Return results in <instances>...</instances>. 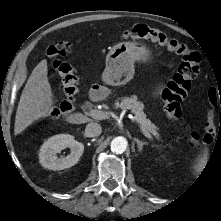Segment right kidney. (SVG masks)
I'll return each mask as SVG.
<instances>
[{"mask_svg":"<svg viewBox=\"0 0 221 221\" xmlns=\"http://www.w3.org/2000/svg\"><path fill=\"white\" fill-rule=\"evenodd\" d=\"M70 148L71 153L66 157H58L63 149ZM84 151V145L77 142L69 134H59L50 137L43 143L39 153L40 163L50 170H63L74 166Z\"/></svg>","mask_w":221,"mask_h":221,"instance_id":"right-kidney-1","label":"right kidney"}]
</instances>
